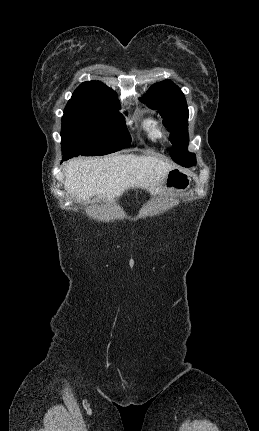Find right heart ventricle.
Wrapping results in <instances>:
<instances>
[{"mask_svg": "<svg viewBox=\"0 0 259 431\" xmlns=\"http://www.w3.org/2000/svg\"><path fill=\"white\" fill-rule=\"evenodd\" d=\"M140 128L149 139L155 140L161 136L160 124L152 116L142 117L140 119Z\"/></svg>", "mask_w": 259, "mask_h": 431, "instance_id": "e07e8e85", "label": "right heart ventricle"}]
</instances>
